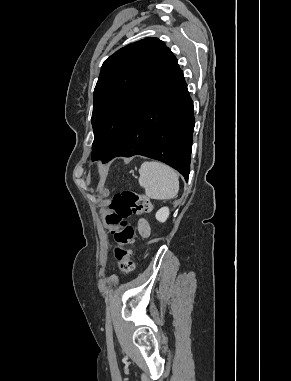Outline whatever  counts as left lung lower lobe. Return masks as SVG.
<instances>
[{"label":"left lung lower lobe","instance_id":"1","mask_svg":"<svg viewBox=\"0 0 291 381\" xmlns=\"http://www.w3.org/2000/svg\"><path fill=\"white\" fill-rule=\"evenodd\" d=\"M194 124L193 102L180 70L149 100L103 163L142 155L170 165L188 181Z\"/></svg>","mask_w":291,"mask_h":381}]
</instances>
